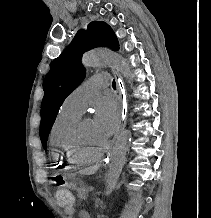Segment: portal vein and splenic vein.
Wrapping results in <instances>:
<instances>
[{
  "mask_svg": "<svg viewBox=\"0 0 211 218\" xmlns=\"http://www.w3.org/2000/svg\"><path fill=\"white\" fill-rule=\"evenodd\" d=\"M94 190V186H91L90 188H86V191H93Z\"/></svg>",
  "mask_w": 211,
  "mask_h": 218,
  "instance_id": "1",
  "label": "portal vein and splenic vein"
}]
</instances>
